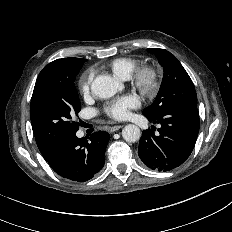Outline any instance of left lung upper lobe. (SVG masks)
I'll return each instance as SVG.
<instances>
[{
  "instance_id": "left-lung-upper-lobe-1",
  "label": "left lung upper lobe",
  "mask_w": 232,
  "mask_h": 232,
  "mask_svg": "<svg viewBox=\"0 0 232 232\" xmlns=\"http://www.w3.org/2000/svg\"><path fill=\"white\" fill-rule=\"evenodd\" d=\"M163 67L164 75L155 101L143 110L148 117H157L178 105L197 108L194 85L178 59L165 49H148Z\"/></svg>"
}]
</instances>
